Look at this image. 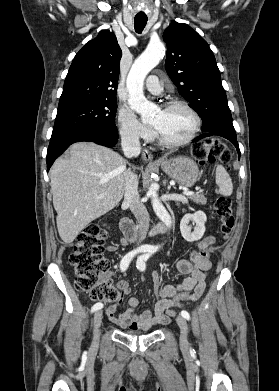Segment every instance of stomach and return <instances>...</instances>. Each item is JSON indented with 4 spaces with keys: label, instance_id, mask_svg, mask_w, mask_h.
Instances as JSON below:
<instances>
[{
    "label": "stomach",
    "instance_id": "0dacf381",
    "mask_svg": "<svg viewBox=\"0 0 279 391\" xmlns=\"http://www.w3.org/2000/svg\"><path fill=\"white\" fill-rule=\"evenodd\" d=\"M161 169L178 184L191 187L198 179L197 164L190 158L179 156L171 159L163 158L160 161Z\"/></svg>",
    "mask_w": 279,
    "mask_h": 391
}]
</instances>
